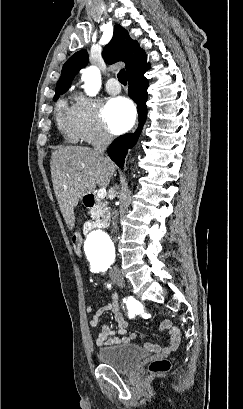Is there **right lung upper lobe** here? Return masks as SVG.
<instances>
[{"instance_id":"obj_1","label":"right lung upper lobe","mask_w":243,"mask_h":409,"mask_svg":"<svg viewBox=\"0 0 243 409\" xmlns=\"http://www.w3.org/2000/svg\"><path fill=\"white\" fill-rule=\"evenodd\" d=\"M103 58L106 63L113 64L118 61L125 62L128 78L140 74L149 69L146 62V54L139 44L132 40L128 32L120 25L114 27L111 42L103 50ZM88 64L86 50H80L73 54L63 65L61 77L56 85V94L64 93L71 86L72 79L78 70Z\"/></svg>"}]
</instances>
